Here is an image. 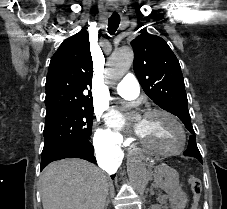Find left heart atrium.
Returning a JSON list of instances; mask_svg holds the SVG:
<instances>
[{
	"mask_svg": "<svg viewBox=\"0 0 227 209\" xmlns=\"http://www.w3.org/2000/svg\"><path fill=\"white\" fill-rule=\"evenodd\" d=\"M107 121L116 127H120L122 124V117L118 111L112 109L107 114ZM140 121H141V118L137 117V124Z\"/></svg>",
	"mask_w": 227,
	"mask_h": 209,
	"instance_id": "left-heart-atrium-1",
	"label": "left heart atrium"
}]
</instances>
